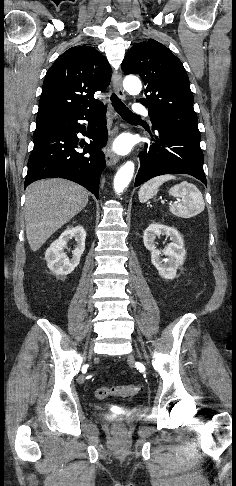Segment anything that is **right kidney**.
Wrapping results in <instances>:
<instances>
[{
	"instance_id": "obj_1",
	"label": "right kidney",
	"mask_w": 236,
	"mask_h": 486,
	"mask_svg": "<svg viewBox=\"0 0 236 486\" xmlns=\"http://www.w3.org/2000/svg\"><path fill=\"white\" fill-rule=\"evenodd\" d=\"M74 238L77 242L75 250L72 252L73 257L69 259L64 252L67 243ZM86 232L82 226H76L66 229L60 237L55 240L46 250L45 260L47 267L55 275H68L79 265L81 255L85 250Z\"/></svg>"
}]
</instances>
